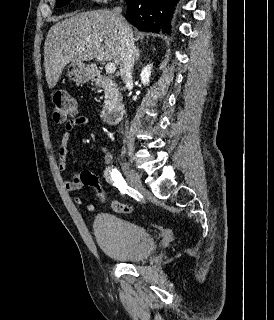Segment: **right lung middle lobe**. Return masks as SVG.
Segmentation results:
<instances>
[{
	"label": "right lung middle lobe",
	"instance_id": "right-lung-middle-lobe-1",
	"mask_svg": "<svg viewBox=\"0 0 274 320\" xmlns=\"http://www.w3.org/2000/svg\"><path fill=\"white\" fill-rule=\"evenodd\" d=\"M69 2H70V0H56L57 7H62L66 4H68Z\"/></svg>",
	"mask_w": 274,
	"mask_h": 320
}]
</instances>
